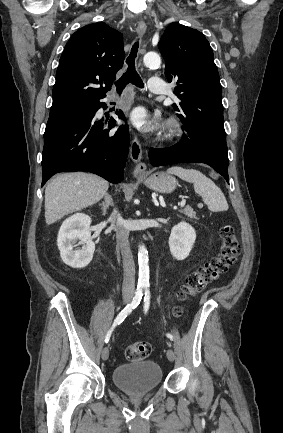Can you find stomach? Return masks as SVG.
Listing matches in <instances>:
<instances>
[{
    "mask_svg": "<svg viewBox=\"0 0 283 433\" xmlns=\"http://www.w3.org/2000/svg\"><path fill=\"white\" fill-rule=\"evenodd\" d=\"M144 184L157 192H172L177 186V180L167 172H154L145 178Z\"/></svg>",
    "mask_w": 283,
    "mask_h": 433,
    "instance_id": "obj_1",
    "label": "stomach"
}]
</instances>
